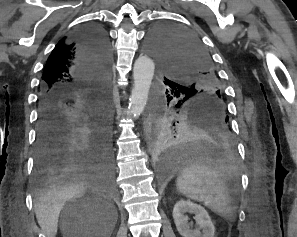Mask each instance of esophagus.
<instances>
[{"label": "esophagus", "mask_w": 297, "mask_h": 237, "mask_svg": "<svg viewBox=\"0 0 297 237\" xmlns=\"http://www.w3.org/2000/svg\"><path fill=\"white\" fill-rule=\"evenodd\" d=\"M148 132H149V126H147V141L148 143H150V134Z\"/></svg>", "instance_id": "obj_1"}]
</instances>
